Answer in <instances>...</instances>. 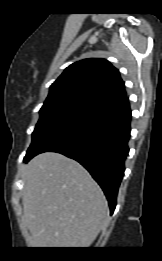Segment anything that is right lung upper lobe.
I'll list each match as a JSON object with an SVG mask.
<instances>
[{"label":"right lung upper lobe","mask_w":162,"mask_h":261,"mask_svg":"<svg viewBox=\"0 0 162 261\" xmlns=\"http://www.w3.org/2000/svg\"><path fill=\"white\" fill-rule=\"evenodd\" d=\"M68 92L84 93L102 104L126 96L119 71L107 60L89 58L67 67L50 86L49 95Z\"/></svg>","instance_id":"right-lung-upper-lobe-1"}]
</instances>
